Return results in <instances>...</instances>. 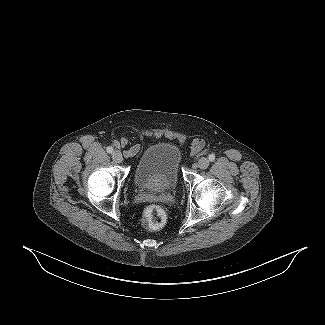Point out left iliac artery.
Instances as JSON below:
<instances>
[{"mask_svg":"<svg viewBox=\"0 0 325 325\" xmlns=\"http://www.w3.org/2000/svg\"><path fill=\"white\" fill-rule=\"evenodd\" d=\"M208 158H209L210 161H214L215 160V155L214 154H210Z\"/></svg>","mask_w":325,"mask_h":325,"instance_id":"left-iliac-artery-1","label":"left iliac artery"}]
</instances>
